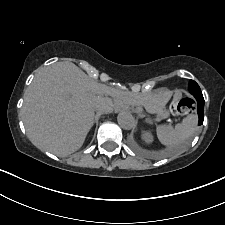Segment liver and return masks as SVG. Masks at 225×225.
I'll return each mask as SVG.
<instances>
[{"instance_id": "6515ba94", "label": "liver", "mask_w": 225, "mask_h": 225, "mask_svg": "<svg viewBox=\"0 0 225 225\" xmlns=\"http://www.w3.org/2000/svg\"><path fill=\"white\" fill-rule=\"evenodd\" d=\"M149 98L98 83L71 62H57L35 74L24 93L22 120L33 145L63 157L82 147L97 106L110 112L113 99L144 106Z\"/></svg>"}]
</instances>
